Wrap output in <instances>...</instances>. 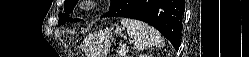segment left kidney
Returning <instances> with one entry per match:
<instances>
[{
	"instance_id": "1",
	"label": "left kidney",
	"mask_w": 249,
	"mask_h": 57,
	"mask_svg": "<svg viewBox=\"0 0 249 57\" xmlns=\"http://www.w3.org/2000/svg\"><path fill=\"white\" fill-rule=\"evenodd\" d=\"M140 57H150L149 55H140Z\"/></svg>"
}]
</instances>
